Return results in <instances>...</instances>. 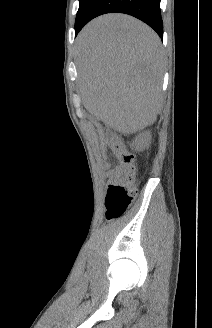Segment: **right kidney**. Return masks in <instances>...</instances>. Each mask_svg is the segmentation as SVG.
Returning <instances> with one entry per match:
<instances>
[{"mask_svg":"<svg viewBox=\"0 0 212 328\" xmlns=\"http://www.w3.org/2000/svg\"><path fill=\"white\" fill-rule=\"evenodd\" d=\"M149 137H150V134L148 132H146L142 136H139V138L137 140L139 141L140 144H144V143H147V141L149 140Z\"/></svg>","mask_w":212,"mask_h":328,"instance_id":"obj_1","label":"right kidney"}]
</instances>
